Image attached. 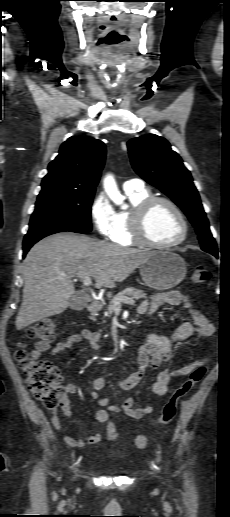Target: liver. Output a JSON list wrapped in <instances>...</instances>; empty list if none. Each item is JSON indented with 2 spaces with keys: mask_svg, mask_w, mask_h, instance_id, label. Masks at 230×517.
<instances>
[{
  "mask_svg": "<svg viewBox=\"0 0 230 517\" xmlns=\"http://www.w3.org/2000/svg\"><path fill=\"white\" fill-rule=\"evenodd\" d=\"M151 254L72 233H59L39 241L24 260L17 330L64 312L75 293L72 278L90 276L97 286L114 288Z\"/></svg>",
  "mask_w": 230,
  "mask_h": 517,
  "instance_id": "obj_1",
  "label": "liver"
}]
</instances>
